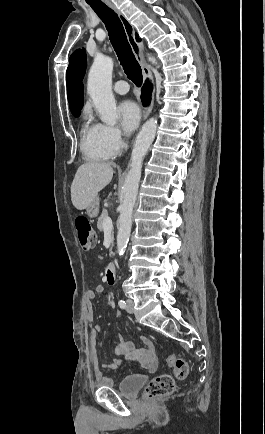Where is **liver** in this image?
Wrapping results in <instances>:
<instances>
[{
	"label": "liver",
	"mask_w": 265,
	"mask_h": 434,
	"mask_svg": "<svg viewBox=\"0 0 265 434\" xmlns=\"http://www.w3.org/2000/svg\"><path fill=\"white\" fill-rule=\"evenodd\" d=\"M113 162H91L78 168L71 186V200L77 210H86L98 192L110 184L113 178Z\"/></svg>",
	"instance_id": "liver-1"
}]
</instances>
